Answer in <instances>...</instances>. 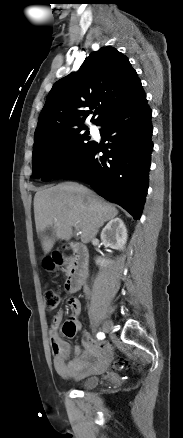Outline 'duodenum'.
Returning a JSON list of instances; mask_svg holds the SVG:
<instances>
[{
	"label": "duodenum",
	"mask_w": 183,
	"mask_h": 438,
	"mask_svg": "<svg viewBox=\"0 0 183 438\" xmlns=\"http://www.w3.org/2000/svg\"><path fill=\"white\" fill-rule=\"evenodd\" d=\"M68 247L73 250L74 261L68 272L65 287L68 292L76 293L87 277L89 254L86 246L81 243H72Z\"/></svg>",
	"instance_id": "obj_1"
}]
</instances>
